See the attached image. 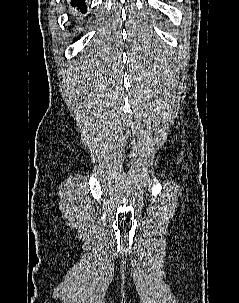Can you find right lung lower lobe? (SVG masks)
<instances>
[{
	"mask_svg": "<svg viewBox=\"0 0 239 303\" xmlns=\"http://www.w3.org/2000/svg\"><path fill=\"white\" fill-rule=\"evenodd\" d=\"M71 5L77 7L82 13L87 11L85 0H71Z\"/></svg>",
	"mask_w": 239,
	"mask_h": 303,
	"instance_id": "obj_1",
	"label": "right lung lower lobe"
}]
</instances>
